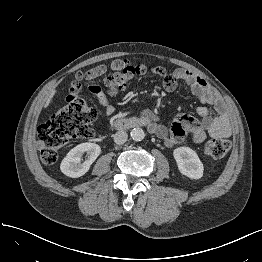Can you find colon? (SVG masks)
Segmentation results:
<instances>
[{"mask_svg": "<svg viewBox=\"0 0 262 262\" xmlns=\"http://www.w3.org/2000/svg\"><path fill=\"white\" fill-rule=\"evenodd\" d=\"M153 70L155 67L149 64L119 62L116 71L101 83H95L87 75L78 73L68 85L69 94L65 103L38 127V149L41 160L48 165L54 164L59 152L70 139L89 140L94 136L91 125L96 119V112L79 95L83 80L89 81L88 87L95 94L114 93L135 77ZM229 150L230 143L226 139H209L203 146V153L215 159L224 157Z\"/></svg>", "mask_w": 262, "mask_h": 262, "instance_id": "obj_1", "label": "colon"}]
</instances>
